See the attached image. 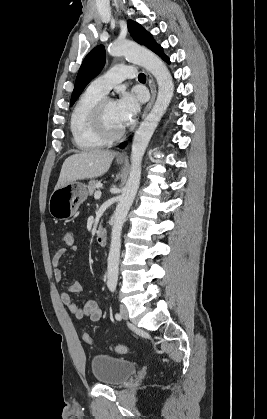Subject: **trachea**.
<instances>
[{
	"label": "trachea",
	"mask_w": 267,
	"mask_h": 419,
	"mask_svg": "<svg viewBox=\"0 0 267 419\" xmlns=\"http://www.w3.org/2000/svg\"><path fill=\"white\" fill-rule=\"evenodd\" d=\"M138 79H139V80H146V76H145V74L140 73V74L138 75Z\"/></svg>",
	"instance_id": "obj_1"
}]
</instances>
